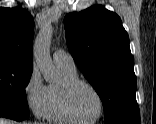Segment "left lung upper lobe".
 <instances>
[{"label":"left lung upper lobe","mask_w":156,"mask_h":124,"mask_svg":"<svg viewBox=\"0 0 156 124\" xmlns=\"http://www.w3.org/2000/svg\"><path fill=\"white\" fill-rule=\"evenodd\" d=\"M66 42L102 100L105 124H140L129 37L119 16L101 5L64 18Z\"/></svg>","instance_id":"obj_1"}]
</instances>
